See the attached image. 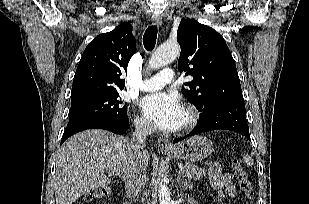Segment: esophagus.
Returning a JSON list of instances; mask_svg holds the SVG:
<instances>
[{"mask_svg":"<svg viewBox=\"0 0 309 204\" xmlns=\"http://www.w3.org/2000/svg\"><path fill=\"white\" fill-rule=\"evenodd\" d=\"M151 22L153 25L160 26L162 24V18L159 15H153ZM156 144L158 148L164 151L171 150L173 148L171 142L167 138H158Z\"/></svg>","mask_w":309,"mask_h":204,"instance_id":"34e87169","label":"esophagus"}]
</instances>
